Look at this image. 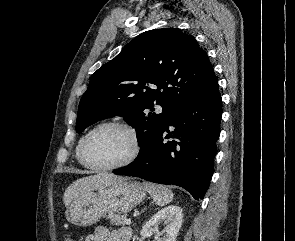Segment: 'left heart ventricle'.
<instances>
[{"mask_svg": "<svg viewBox=\"0 0 295 241\" xmlns=\"http://www.w3.org/2000/svg\"><path fill=\"white\" fill-rule=\"evenodd\" d=\"M131 150L129 134L121 128L110 127L92 136L87 145L86 156L93 164L112 165L127 158Z\"/></svg>", "mask_w": 295, "mask_h": 241, "instance_id": "1", "label": "left heart ventricle"}]
</instances>
